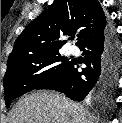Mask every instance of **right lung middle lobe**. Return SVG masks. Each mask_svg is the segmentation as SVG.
Returning <instances> with one entry per match:
<instances>
[{"mask_svg":"<svg viewBox=\"0 0 122 123\" xmlns=\"http://www.w3.org/2000/svg\"><path fill=\"white\" fill-rule=\"evenodd\" d=\"M72 61L59 51L32 56L7 67L4 76L5 104L62 75Z\"/></svg>","mask_w":122,"mask_h":123,"instance_id":"obj_1","label":"right lung middle lobe"}]
</instances>
